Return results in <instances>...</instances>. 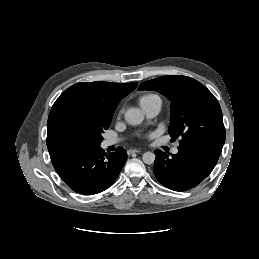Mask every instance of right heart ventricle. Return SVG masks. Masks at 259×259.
Segmentation results:
<instances>
[{
	"label": "right heart ventricle",
	"mask_w": 259,
	"mask_h": 259,
	"mask_svg": "<svg viewBox=\"0 0 259 259\" xmlns=\"http://www.w3.org/2000/svg\"><path fill=\"white\" fill-rule=\"evenodd\" d=\"M154 101H159L161 102L159 96H157L156 94H146L143 95L140 99H139V103L140 106H144L150 102H154Z\"/></svg>",
	"instance_id": "e07e8e85"
}]
</instances>
